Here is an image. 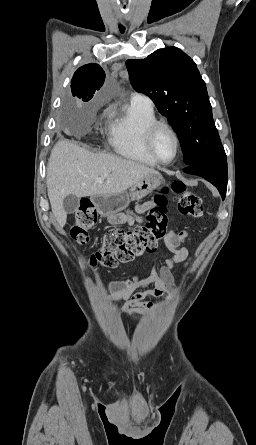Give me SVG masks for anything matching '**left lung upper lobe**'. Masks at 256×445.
Returning a JSON list of instances; mask_svg holds the SVG:
<instances>
[{
  "label": "left lung upper lobe",
  "instance_id": "5c2ea615",
  "mask_svg": "<svg viewBox=\"0 0 256 445\" xmlns=\"http://www.w3.org/2000/svg\"><path fill=\"white\" fill-rule=\"evenodd\" d=\"M133 88L149 96L176 131L187 165L226 158L212 117L205 82L182 50L167 47L127 60Z\"/></svg>",
  "mask_w": 256,
  "mask_h": 445
}]
</instances>
